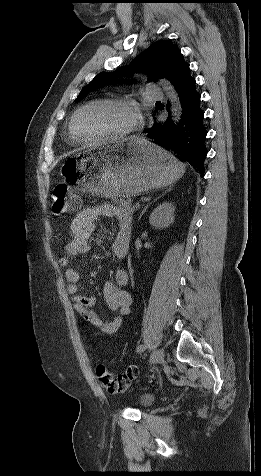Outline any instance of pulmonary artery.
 Listing matches in <instances>:
<instances>
[{
	"instance_id": "1",
	"label": "pulmonary artery",
	"mask_w": 261,
	"mask_h": 476,
	"mask_svg": "<svg viewBox=\"0 0 261 476\" xmlns=\"http://www.w3.org/2000/svg\"><path fill=\"white\" fill-rule=\"evenodd\" d=\"M146 95L148 99L152 101H159L164 98L162 91L153 85H150L146 88Z\"/></svg>"
}]
</instances>
